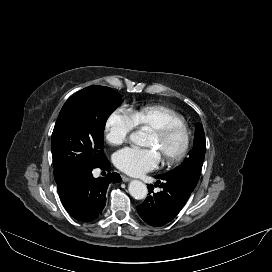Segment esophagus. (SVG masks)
Here are the masks:
<instances>
[{
    "instance_id": "1",
    "label": "esophagus",
    "mask_w": 272,
    "mask_h": 272,
    "mask_svg": "<svg viewBox=\"0 0 272 272\" xmlns=\"http://www.w3.org/2000/svg\"><path fill=\"white\" fill-rule=\"evenodd\" d=\"M132 179L130 178V177H127V176H125V175H123L122 176V181L123 182H129V181H131Z\"/></svg>"
}]
</instances>
